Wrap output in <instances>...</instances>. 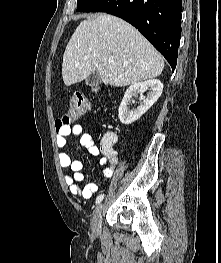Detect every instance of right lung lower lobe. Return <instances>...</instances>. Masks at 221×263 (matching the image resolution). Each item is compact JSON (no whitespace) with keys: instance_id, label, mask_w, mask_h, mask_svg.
Instances as JSON below:
<instances>
[{"instance_id":"right-lung-lower-lobe-1","label":"right lung lower lobe","mask_w":221,"mask_h":263,"mask_svg":"<svg viewBox=\"0 0 221 263\" xmlns=\"http://www.w3.org/2000/svg\"><path fill=\"white\" fill-rule=\"evenodd\" d=\"M182 0H104L93 12L118 16L135 26L175 69L181 37Z\"/></svg>"}]
</instances>
